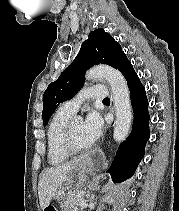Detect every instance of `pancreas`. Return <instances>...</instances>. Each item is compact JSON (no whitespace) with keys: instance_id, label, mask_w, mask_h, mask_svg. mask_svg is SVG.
<instances>
[{"instance_id":"cf45deb5","label":"pancreas","mask_w":179,"mask_h":211,"mask_svg":"<svg viewBox=\"0 0 179 211\" xmlns=\"http://www.w3.org/2000/svg\"><path fill=\"white\" fill-rule=\"evenodd\" d=\"M78 193L79 191L69 192L64 198H58L62 211H77L79 202L82 200Z\"/></svg>"}]
</instances>
